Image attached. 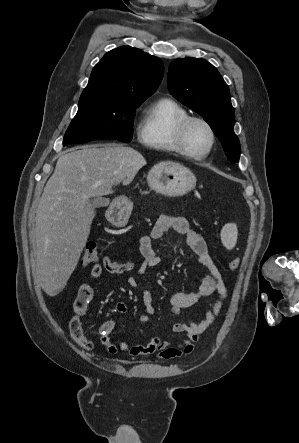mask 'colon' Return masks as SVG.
Wrapping results in <instances>:
<instances>
[{
  "label": "colon",
  "mask_w": 299,
  "mask_h": 443,
  "mask_svg": "<svg viewBox=\"0 0 299 443\" xmlns=\"http://www.w3.org/2000/svg\"><path fill=\"white\" fill-rule=\"evenodd\" d=\"M98 258V245L95 242H90L86 245L84 252L80 259L81 266H88L93 264ZM239 259L232 258L228 262V266L231 270H235L239 266Z\"/></svg>",
  "instance_id": "1"
}]
</instances>
